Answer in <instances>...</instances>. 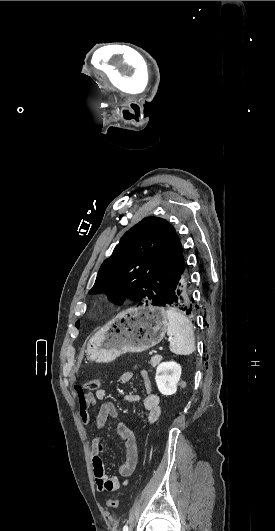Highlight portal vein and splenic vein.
<instances>
[{"instance_id":"obj_1","label":"portal vein and splenic vein","mask_w":275,"mask_h":531,"mask_svg":"<svg viewBox=\"0 0 275 531\" xmlns=\"http://www.w3.org/2000/svg\"><path fill=\"white\" fill-rule=\"evenodd\" d=\"M169 342H172V339H169ZM160 350H163V347H160Z\"/></svg>"}]
</instances>
